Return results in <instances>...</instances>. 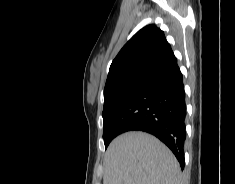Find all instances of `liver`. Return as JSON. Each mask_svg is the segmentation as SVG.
<instances>
[{
	"label": "liver",
	"mask_w": 235,
	"mask_h": 184,
	"mask_svg": "<svg viewBox=\"0 0 235 184\" xmlns=\"http://www.w3.org/2000/svg\"><path fill=\"white\" fill-rule=\"evenodd\" d=\"M103 184H181L179 162L160 140L126 132L108 146Z\"/></svg>",
	"instance_id": "liver-1"
}]
</instances>
